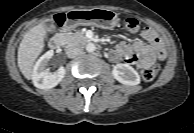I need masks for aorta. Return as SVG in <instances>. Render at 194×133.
I'll return each mask as SVG.
<instances>
[{
    "mask_svg": "<svg viewBox=\"0 0 194 133\" xmlns=\"http://www.w3.org/2000/svg\"><path fill=\"white\" fill-rule=\"evenodd\" d=\"M95 50H96L95 44H93V43H88V44L86 45V51H87V52L92 53V52H94Z\"/></svg>",
    "mask_w": 194,
    "mask_h": 133,
    "instance_id": "762f6f07",
    "label": "aorta"
}]
</instances>
